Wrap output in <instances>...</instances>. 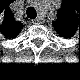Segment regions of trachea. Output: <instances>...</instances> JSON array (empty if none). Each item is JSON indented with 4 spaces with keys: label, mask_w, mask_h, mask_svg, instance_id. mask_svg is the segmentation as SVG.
<instances>
[{
    "label": "trachea",
    "mask_w": 80,
    "mask_h": 80,
    "mask_svg": "<svg viewBox=\"0 0 80 80\" xmlns=\"http://www.w3.org/2000/svg\"><path fill=\"white\" fill-rule=\"evenodd\" d=\"M27 17L30 19H35L37 16L36 10L33 7H29L26 10Z\"/></svg>",
    "instance_id": "trachea-1"
}]
</instances>
